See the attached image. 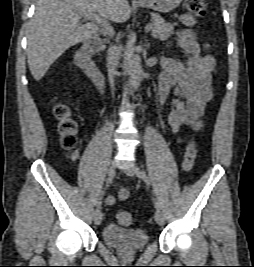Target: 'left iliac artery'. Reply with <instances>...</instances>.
<instances>
[{
	"instance_id": "obj_1",
	"label": "left iliac artery",
	"mask_w": 254,
	"mask_h": 267,
	"mask_svg": "<svg viewBox=\"0 0 254 267\" xmlns=\"http://www.w3.org/2000/svg\"><path fill=\"white\" fill-rule=\"evenodd\" d=\"M136 175L141 178L142 180H144V182L150 186L151 184V180L150 178L146 175V173L139 167H136ZM154 201V206L156 209H160V204L156 199H153Z\"/></svg>"
}]
</instances>
